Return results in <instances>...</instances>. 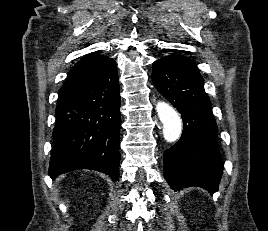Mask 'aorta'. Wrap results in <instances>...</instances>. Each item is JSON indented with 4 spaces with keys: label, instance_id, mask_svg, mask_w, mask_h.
Here are the masks:
<instances>
[{
    "label": "aorta",
    "instance_id": "1",
    "mask_svg": "<svg viewBox=\"0 0 268 231\" xmlns=\"http://www.w3.org/2000/svg\"><path fill=\"white\" fill-rule=\"evenodd\" d=\"M157 114L163 123V136L167 142L176 141L182 131V122L179 114L167 103L158 102Z\"/></svg>",
    "mask_w": 268,
    "mask_h": 231
}]
</instances>
